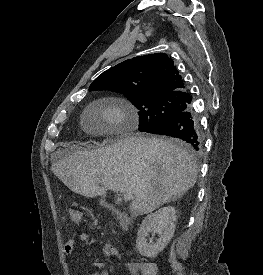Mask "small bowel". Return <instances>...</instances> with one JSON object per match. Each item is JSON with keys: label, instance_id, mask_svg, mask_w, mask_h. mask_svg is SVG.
Listing matches in <instances>:
<instances>
[{"label": "small bowel", "instance_id": "obj_1", "mask_svg": "<svg viewBox=\"0 0 263 275\" xmlns=\"http://www.w3.org/2000/svg\"><path fill=\"white\" fill-rule=\"evenodd\" d=\"M91 239L90 235L81 232L74 234L64 245V252L66 255H71L74 252L75 245L77 241L87 242ZM103 254L106 257H112L115 254V250L110 244H104L103 246ZM93 268H97V271H94ZM140 267L136 264H130L129 270L131 275H137L140 271ZM86 275H109V271L106 269L105 264L100 261H95L92 263V268L88 269L85 273Z\"/></svg>", "mask_w": 263, "mask_h": 275}]
</instances>
